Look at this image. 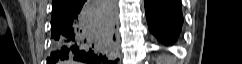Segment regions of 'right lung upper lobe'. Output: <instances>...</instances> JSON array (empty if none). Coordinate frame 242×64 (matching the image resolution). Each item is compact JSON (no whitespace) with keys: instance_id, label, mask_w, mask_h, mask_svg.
Segmentation results:
<instances>
[{"instance_id":"obj_1","label":"right lung upper lobe","mask_w":242,"mask_h":64,"mask_svg":"<svg viewBox=\"0 0 242 64\" xmlns=\"http://www.w3.org/2000/svg\"><path fill=\"white\" fill-rule=\"evenodd\" d=\"M75 3V0H53L52 2V14L58 12L67 11Z\"/></svg>"}]
</instances>
